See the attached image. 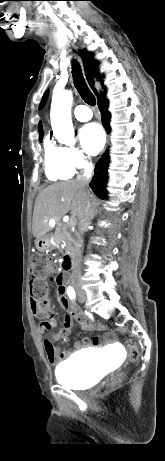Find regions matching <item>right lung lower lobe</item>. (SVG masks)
Instances as JSON below:
<instances>
[{
	"label": "right lung lower lobe",
	"instance_id": "1",
	"mask_svg": "<svg viewBox=\"0 0 165 461\" xmlns=\"http://www.w3.org/2000/svg\"><path fill=\"white\" fill-rule=\"evenodd\" d=\"M110 113L107 110V103H104L103 113H102V123L108 133H110ZM108 152L100 158L98 163L95 166V173L92 178L91 183L89 184L94 193L101 199L105 198L106 193V183H107V167L109 163Z\"/></svg>",
	"mask_w": 165,
	"mask_h": 461
}]
</instances>
